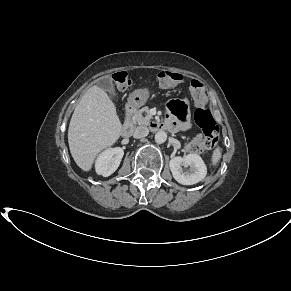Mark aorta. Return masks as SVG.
Returning a JSON list of instances; mask_svg holds the SVG:
<instances>
[{
    "label": "aorta",
    "instance_id": "762f6f07",
    "mask_svg": "<svg viewBox=\"0 0 291 291\" xmlns=\"http://www.w3.org/2000/svg\"><path fill=\"white\" fill-rule=\"evenodd\" d=\"M167 140V134L164 131H158L155 134V142L158 144H162Z\"/></svg>",
    "mask_w": 291,
    "mask_h": 291
}]
</instances>
